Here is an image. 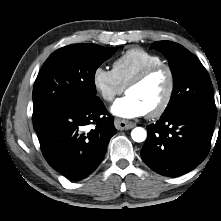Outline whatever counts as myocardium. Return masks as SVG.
<instances>
[{
	"label": "myocardium",
	"mask_w": 221,
	"mask_h": 221,
	"mask_svg": "<svg viewBox=\"0 0 221 221\" xmlns=\"http://www.w3.org/2000/svg\"><path fill=\"white\" fill-rule=\"evenodd\" d=\"M160 70L166 71L168 76V86L165 95L162 101L159 103V105L148 112V116L150 117L161 116L170 105L175 90V75L172 68L165 63L148 66L142 71H140L135 77H133L125 87L126 91H128L130 88L140 85L145 80H147L151 75H153L155 72Z\"/></svg>",
	"instance_id": "1"
}]
</instances>
